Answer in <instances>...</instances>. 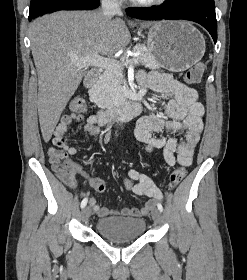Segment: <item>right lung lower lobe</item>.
<instances>
[{"instance_id": "obj_1", "label": "right lung lower lobe", "mask_w": 247, "mask_h": 280, "mask_svg": "<svg viewBox=\"0 0 247 280\" xmlns=\"http://www.w3.org/2000/svg\"><path fill=\"white\" fill-rule=\"evenodd\" d=\"M99 5V0H49L29 13V20L46 13L66 9H91Z\"/></svg>"}]
</instances>
